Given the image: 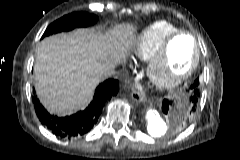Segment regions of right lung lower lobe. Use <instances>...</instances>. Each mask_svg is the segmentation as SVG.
<instances>
[{"instance_id": "right-lung-lower-lobe-1", "label": "right lung lower lobe", "mask_w": 240, "mask_h": 160, "mask_svg": "<svg viewBox=\"0 0 240 160\" xmlns=\"http://www.w3.org/2000/svg\"><path fill=\"white\" fill-rule=\"evenodd\" d=\"M118 90L119 82L114 79H108L96 88L92 102L84 111L61 118L49 114L36 96L33 97V103L39 120L52 133L66 138L78 137L93 128L105 102L110 100L112 96H115Z\"/></svg>"}]
</instances>
